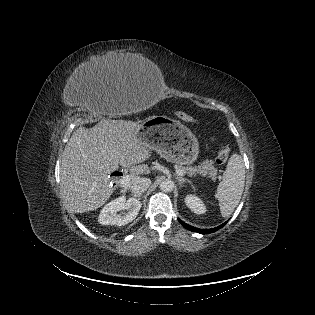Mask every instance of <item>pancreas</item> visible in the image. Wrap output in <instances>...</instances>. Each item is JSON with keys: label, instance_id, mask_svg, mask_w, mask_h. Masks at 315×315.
<instances>
[{"label": "pancreas", "instance_id": "obj_1", "mask_svg": "<svg viewBox=\"0 0 315 315\" xmlns=\"http://www.w3.org/2000/svg\"><path fill=\"white\" fill-rule=\"evenodd\" d=\"M178 169L182 170L184 174H187L189 176H193L195 174H201L203 176L208 175L213 180L216 179L217 175V168L213 165V161L205 160L203 163H201L198 166L192 167V166H182L180 164L177 165Z\"/></svg>", "mask_w": 315, "mask_h": 315}]
</instances>
